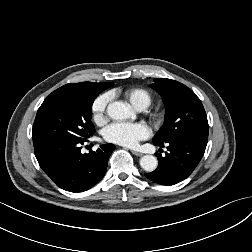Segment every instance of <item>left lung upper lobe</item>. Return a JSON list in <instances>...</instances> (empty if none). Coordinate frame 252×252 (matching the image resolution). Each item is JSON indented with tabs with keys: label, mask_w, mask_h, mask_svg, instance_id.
Returning <instances> with one entry per match:
<instances>
[{
	"label": "left lung upper lobe",
	"mask_w": 252,
	"mask_h": 252,
	"mask_svg": "<svg viewBox=\"0 0 252 252\" xmlns=\"http://www.w3.org/2000/svg\"><path fill=\"white\" fill-rule=\"evenodd\" d=\"M151 87L160 93L166 107L164 124L154 136L153 143L165 144L190 135L208 138L204 107L191 89L167 78L155 79Z\"/></svg>",
	"instance_id": "obj_1"
}]
</instances>
